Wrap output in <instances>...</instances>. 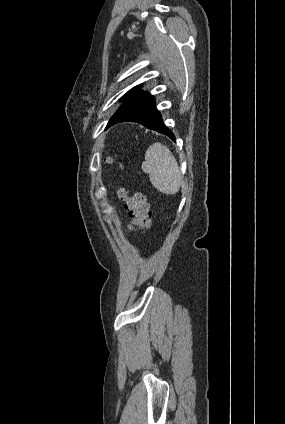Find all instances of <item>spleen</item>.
Segmentation results:
<instances>
[{"instance_id":"1","label":"spleen","mask_w":285,"mask_h":424,"mask_svg":"<svg viewBox=\"0 0 285 424\" xmlns=\"http://www.w3.org/2000/svg\"><path fill=\"white\" fill-rule=\"evenodd\" d=\"M149 175L150 182L160 192L172 195L181 186V172L178 163L170 150L161 143H154L145 153V161L141 166Z\"/></svg>"}]
</instances>
